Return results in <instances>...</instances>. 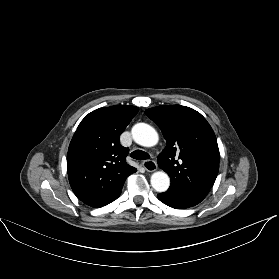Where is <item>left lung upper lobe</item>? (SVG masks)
I'll return each instance as SVG.
<instances>
[{"label": "left lung upper lobe", "mask_w": 279, "mask_h": 279, "mask_svg": "<svg viewBox=\"0 0 279 279\" xmlns=\"http://www.w3.org/2000/svg\"><path fill=\"white\" fill-rule=\"evenodd\" d=\"M145 114L166 140L157 162L170 177L168 190L203 200L219 170L218 144L209 123L199 112L181 105L157 106Z\"/></svg>", "instance_id": "left-lung-upper-lobe-1"}]
</instances>
